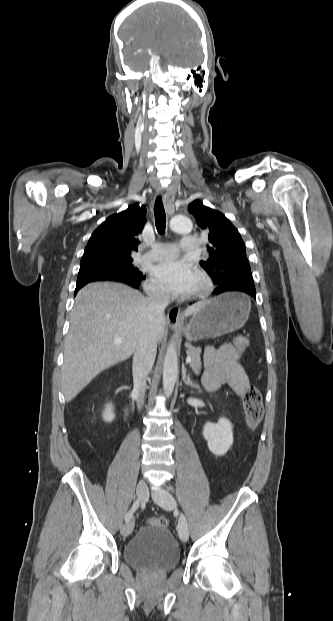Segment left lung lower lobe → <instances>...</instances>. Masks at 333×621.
Wrapping results in <instances>:
<instances>
[{"label": "left lung lower lobe", "mask_w": 333, "mask_h": 621, "mask_svg": "<svg viewBox=\"0 0 333 621\" xmlns=\"http://www.w3.org/2000/svg\"><path fill=\"white\" fill-rule=\"evenodd\" d=\"M224 292H244L256 299V290L254 283L246 281H232L215 289L213 295H219Z\"/></svg>", "instance_id": "1"}]
</instances>
